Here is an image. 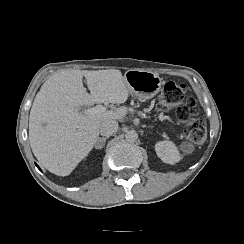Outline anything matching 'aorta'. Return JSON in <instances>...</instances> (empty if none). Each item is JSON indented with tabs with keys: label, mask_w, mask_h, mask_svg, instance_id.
<instances>
[{
	"label": "aorta",
	"mask_w": 244,
	"mask_h": 244,
	"mask_svg": "<svg viewBox=\"0 0 244 244\" xmlns=\"http://www.w3.org/2000/svg\"><path fill=\"white\" fill-rule=\"evenodd\" d=\"M125 138L128 142H135L138 139V133L135 130H128L125 133Z\"/></svg>",
	"instance_id": "762f6f07"
}]
</instances>
